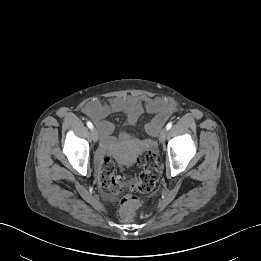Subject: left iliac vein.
I'll return each mask as SVG.
<instances>
[{"instance_id":"obj_1","label":"left iliac vein","mask_w":261,"mask_h":261,"mask_svg":"<svg viewBox=\"0 0 261 261\" xmlns=\"http://www.w3.org/2000/svg\"><path fill=\"white\" fill-rule=\"evenodd\" d=\"M168 130L166 128H163L159 133V140L160 142H164L167 137Z\"/></svg>"}]
</instances>
